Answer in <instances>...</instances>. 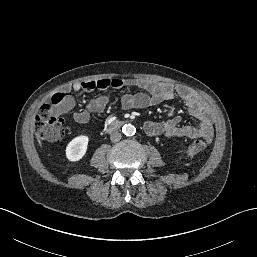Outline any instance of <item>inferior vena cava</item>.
Here are the masks:
<instances>
[{
  "label": "inferior vena cava",
  "mask_w": 257,
  "mask_h": 257,
  "mask_svg": "<svg viewBox=\"0 0 257 257\" xmlns=\"http://www.w3.org/2000/svg\"><path fill=\"white\" fill-rule=\"evenodd\" d=\"M121 139V134L119 133V132H117V131H115V132H113L112 134H111V136H110V140L112 141V142H118L119 140Z\"/></svg>",
  "instance_id": "602c4592"
}]
</instances>
